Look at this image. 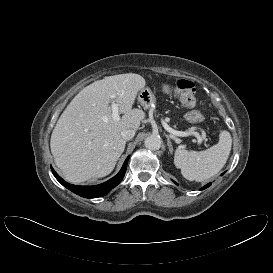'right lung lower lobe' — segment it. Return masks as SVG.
I'll list each match as a JSON object with an SVG mask.
<instances>
[{"mask_svg":"<svg viewBox=\"0 0 273 273\" xmlns=\"http://www.w3.org/2000/svg\"><path fill=\"white\" fill-rule=\"evenodd\" d=\"M128 159L129 157H127L121 170L116 176H114L107 182L100 185H96V186H78V185L69 184L65 182L61 177H59L57 173L53 170V168L51 169L55 178L70 191L85 198H96V197H101L106 195L122 181L126 172Z\"/></svg>","mask_w":273,"mask_h":273,"instance_id":"98d812e1","label":"right lung lower lobe"}]
</instances>
